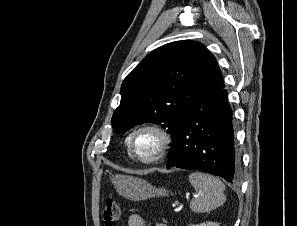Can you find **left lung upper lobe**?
Segmentation results:
<instances>
[{
  "label": "left lung upper lobe",
  "mask_w": 297,
  "mask_h": 226,
  "mask_svg": "<svg viewBox=\"0 0 297 226\" xmlns=\"http://www.w3.org/2000/svg\"><path fill=\"white\" fill-rule=\"evenodd\" d=\"M222 86L216 59L203 44L189 40L168 43L148 54L127 75L112 126L121 134L136 124H161L174 141L198 101Z\"/></svg>",
  "instance_id": "left-lung-upper-lobe-1"
}]
</instances>
